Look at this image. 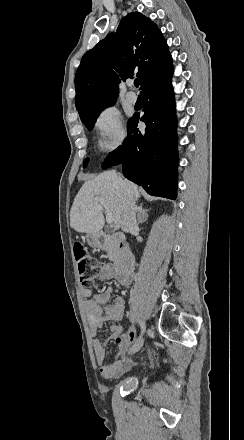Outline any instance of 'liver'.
I'll return each mask as SVG.
<instances>
[{
    "mask_svg": "<svg viewBox=\"0 0 244 440\" xmlns=\"http://www.w3.org/2000/svg\"><path fill=\"white\" fill-rule=\"evenodd\" d=\"M138 200L140 194L137 186L123 180L119 182V176L115 170L102 172L94 180H86L80 188L73 206L70 210V226L76 232L94 234L104 228V208L97 202L99 198L106 200V210L113 214L114 228L119 230L122 222L123 210L127 206V198Z\"/></svg>",
    "mask_w": 244,
    "mask_h": 440,
    "instance_id": "obj_1",
    "label": "liver"
}]
</instances>
